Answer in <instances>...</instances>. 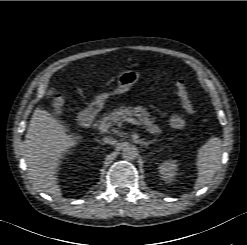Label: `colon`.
<instances>
[{
  "label": "colon",
  "instance_id": "5ec220e1",
  "mask_svg": "<svg viewBox=\"0 0 247 245\" xmlns=\"http://www.w3.org/2000/svg\"><path fill=\"white\" fill-rule=\"evenodd\" d=\"M176 91L183 109L187 113L192 114L194 112L193 100L188 91L185 80L181 77L176 81ZM63 103L64 99L62 95L59 93L55 94L53 98V106L56 111L61 110ZM169 124L173 129H182L186 125V119L180 115H173L170 118Z\"/></svg>",
  "mask_w": 247,
  "mask_h": 245
}]
</instances>
